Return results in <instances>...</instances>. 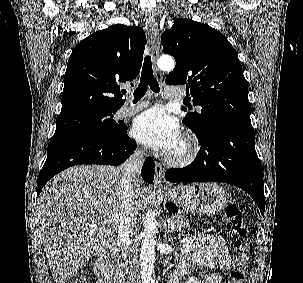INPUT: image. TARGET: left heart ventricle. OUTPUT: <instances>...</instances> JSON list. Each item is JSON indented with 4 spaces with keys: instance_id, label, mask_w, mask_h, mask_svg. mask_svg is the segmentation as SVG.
Returning <instances> with one entry per match:
<instances>
[{
    "instance_id": "1",
    "label": "left heart ventricle",
    "mask_w": 303,
    "mask_h": 283,
    "mask_svg": "<svg viewBox=\"0 0 303 283\" xmlns=\"http://www.w3.org/2000/svg\"><path fill=\"white\" fill-rule=\"evenodd\" d=\"M179 147H180V144L177 146V148H176L174 151L178 150V149H179Z\"/></svg>"
}]
</instances>
